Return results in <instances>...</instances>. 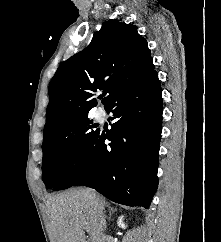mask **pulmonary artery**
<instances>
[{
  "instance_id": "obj_1",
  "label": "pulmonary artery",
  "mask_w": 221,
  "mask_h": 242,
  "mask_svg": "<svg viewBox=\"0 0 221 242\" xmlns=\"http://www.w3.org/2000/svg\"><path fill=\"white\" fill-rule=\"evenodd\" d=\"M96 116H97L98 119H101L103 117L102 111H98Z\"/></svg>"
}]
</instances>
